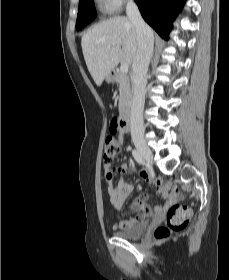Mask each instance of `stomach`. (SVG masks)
I'll use <instances>...</instances> for the list:
<instances>
[{
  "label": "stomach",
  "instance_id": "stomach-1",
  "mask_svg": "<svg viewBox=\"0 0 229 280\" xmlns=\"http://www.w3.org/2000/svg\"><path fill=\"white\" fill-rule=\"evenodd\" d=\"M105 80L107 83H113L115 81V76L112 73L106 75Z\"/></svg>",
  "mask_w": 229,
  "mask_h": 280
}]
</instances>
